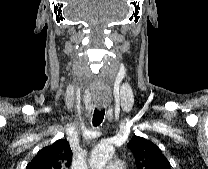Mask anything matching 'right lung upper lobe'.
<instances>
[{"label": "right lung upper lobe", "instance_id": "right-lung-upper-lobe-1", "mask_svg": "<svg viewBox=\"0 0 208 169\" xmlns=\"http://www.w3.org/2000/svg\"><path fill=\"white\" fill-rule=\"evenodd\" d=\"M72 162V151L67 140L60 139L44 147L26 169H68Z\"/></svg>", "mask_w": 208, "mask_h": 169}]
</instances>
